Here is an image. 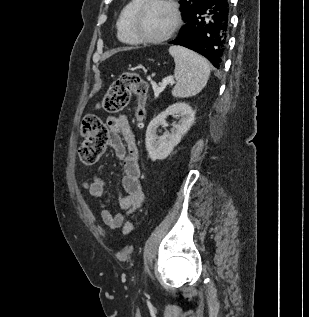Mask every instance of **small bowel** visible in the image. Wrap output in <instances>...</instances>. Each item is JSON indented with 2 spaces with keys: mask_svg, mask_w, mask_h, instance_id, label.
I'll list each match as a JSON object with an SVG mask.
<instances>
[{
  "mask_svg": "<svg viewBox=\"0 0 309 317\" xmlns=\"http://www.w3.org/2000/svg\"><path fill=\"white\" fill-rule=\"evenodd\" d=\"M108 144L116 157L122 161V186L124 195L119 197V205L124 213H112L107 207L108 198L104 196V181L96 174L84 179L82 187L88 194L98 200L103 223L111 229L120 228L144 202V190L141 182L139 153L135 136L126 116H110Z\"/></svg>",
  "mask_w": 309,
  "mask_h": 317,
  "instance_id": "c3829d8e",
  "label": "small bowel"
}]
</instances>
